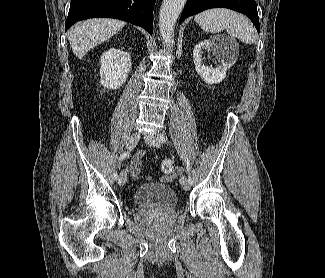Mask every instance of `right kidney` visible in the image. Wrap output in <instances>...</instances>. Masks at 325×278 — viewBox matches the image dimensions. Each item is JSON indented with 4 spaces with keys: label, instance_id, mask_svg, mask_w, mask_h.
<instances>
[{
    "label": "right kidney",
    "instance_id": "1",
    "mask_svg": "<svg viewBox=\"0 0 325 278\" xmlns=\"http://www.w3.org/2000/svg\"><path fill=\"white\" fill-rule=\"evenodd\" d=\"M130 69L129 53L121 49H108L101 56V85L107 89H118L126 82Z\"/></svg>",
    "mask_w": 325,
    "mask_h": 278
}]
</instances>
